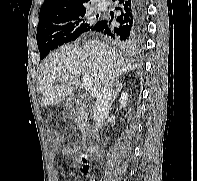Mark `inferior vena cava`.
Returning <instances> with one entry per match:
<instances>
[{
    "label": "inferior vena cava",
    "instance_id": "1",
    "mask_svg": "<svg viewBox=\"0 0 197 181\" xmlns=\"http://www.w3.org/2000/svg\"><path fill=\"white\" fill-rule=\"evenodd\" d=\"M112 88L113 81L107 77L102 84L98 95L96 96L93 119L96 123L97 131L102 128L103 122L109 114V109L113 98Z\"/></svg>",
    "mask_w": 197,
    "mask_h": 181
}]
</instances>
